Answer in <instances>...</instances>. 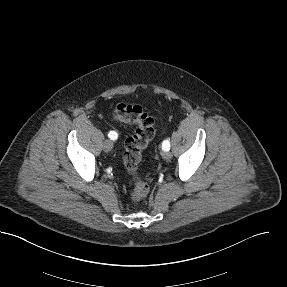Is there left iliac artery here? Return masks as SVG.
<instances>
[{
	"label": "left iliac artery",
	"instance_id": "obj_1",
	"mask_svg": "<svg viewBox=\"0 0 287 287\" xmlns=\"http://www.w3.org/2000/svg\"><path fill=\"white\" fill-rule=\"evenodd\" d=\"M162 149L164 151H169L170 149V142L168 139L164 140L163 143H162Z\"/></svg>",
	"mask_w": 287,
	"mask_h": 287
}]
</instances>
